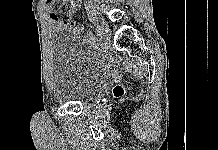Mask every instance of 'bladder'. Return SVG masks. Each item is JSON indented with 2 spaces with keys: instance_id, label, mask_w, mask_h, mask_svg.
I'll return each mask as SVG.
<instances>
[{
  "instance_id": "31cf9c89",
  "label": "bladder",
  "mask_w": 218,
  "mask_h": 150,
  "mask_svg": "<svg viewBox=\"0 0 218 150\" xmlns=\"http://www.w3.org/2000/svg\"><path fill=\"white\" fill-rule=\"evenodd\" d=\"M53 52L52 91L59 101L79 102L91 98L111 72L106 59L73 34H57Z\"/></svg>"
}]
</instances>
